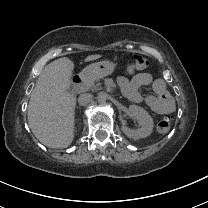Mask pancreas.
<instances>
[{"mask_svg":"<svg viewBox=\"0 0 208 208\" xmlns=\"http://www.w3.org/2000/svg\"><path fill=\"white\" fill-rule=\"evenodd\" d=\"M86 90L89 91H98L102 90L101 83L98 80H92L90 83L87 84Z\"/></svg>","mask_w":208,"mask_h":208,"instance_id":"cf45deb5","label":"pancreas"}]
</instances>
